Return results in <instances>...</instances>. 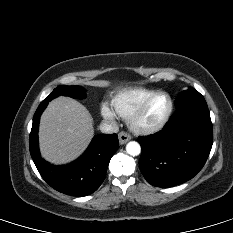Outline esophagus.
<instances>
[{"instance_id":"esophagus-1","label":"esophagus","mask_w":233,"mask_h":233,"mask_svg":"<svg viewBox=\"0 0 233 233\" xmlns=\"http://www.w3.org/2000/svg\"><path fill=\"white\" fill-rule=\"evenodd\" d=\"M118 138H119L120 144H125L129 140H131V136L128 133H126V132H120L118 134Z\"/></svg>"}]
</instances>
